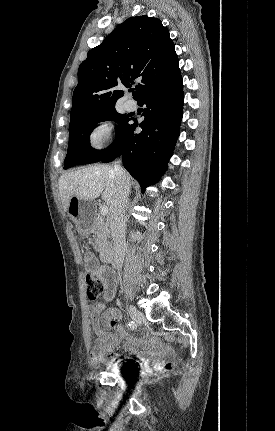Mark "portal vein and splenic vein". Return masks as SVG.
<instances>
[{"instance_id":"1","label":"portal vein and splenic vein","mask_w":275,"mask_h":431,"mask_svg":"<svg viewBox=\"0 0 275 431\" xmlns=\"http://www.w3.org/2000/svg\"><path fill=\"white\" fill-rule=\"evenodd\" d=\"M100 212L102 215H107L108 214V207L107 206H101L100 208Z\"/></svg>"}]
</instances>
